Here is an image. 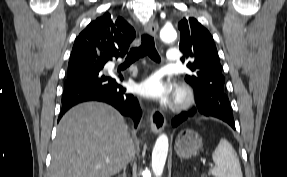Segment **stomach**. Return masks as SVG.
Listing matches in <instances>:
<instances>
[{
  "label": "stomach",
  "mask_w": 287,
  "mask_h": 177,
  "mask_svg": "<svg viewBox=\"0 0 287 177\" xmlns=\"http://www.w3.org/2000/svg\"><path fill=\"white\" fill-rule=\"evenodd\" d=\"M203 148L201 136L192 129L182 130L175 142L176 154L182 159H190L197 156Z\"/></svg>",
  "instance_id": "0dacf381"
}]
</instances>
